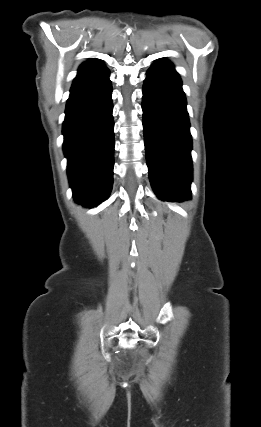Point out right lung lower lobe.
I'll list each match as a JSON object with an SVG mask.
<instances>
[{
	"label": "right lung lower lobe",
	"instance_id": "98d812e1",
	"mask_svg": "<svg viewBox=\"0 0 261 427\" xmlns=\"http://www.w3.org/2000/svg\"><path fill=\"white\" fill-rule=\"evenodd\" d=\"M112 86L105 65L77 75L66 104L63 150L76 202L97 206L113 184Z\"/></svg>",
	"mask_w": 261,
	"mask_h": 427
}]
</instances>
